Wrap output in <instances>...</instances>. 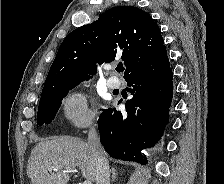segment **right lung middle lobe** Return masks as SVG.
I'll return each mask as SVG.
<instances>
[{
	"label": "right lung middle lobe",
	"instance_id": "dd1d6c3e",
	"mask_svg": "<svg viewBox=\"0 0 224 184\" xmlns=\"http://www.w3.org/2000/svg\"><path fill=\"white\" fill-rule=\"evenodd\" d=\"M77 84L70 85L52 95L41 98L37 114V123L43 125L50 124L58 111L63 97H65L69 90L73 89Z\"/></svg>",
	"mask_w": 224,
	"mask_h": 184
}]
</instances>
